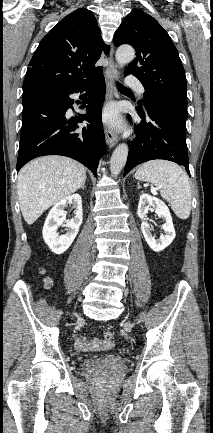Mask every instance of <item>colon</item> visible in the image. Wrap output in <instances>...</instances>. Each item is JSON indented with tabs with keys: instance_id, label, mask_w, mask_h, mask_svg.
<instances>
[{
	"instance_id": "colon-1",
	"label": "colon",
	"mask_w": 213,
	"mask_h": 433,
	"mask_svg": "<svg viewBox=\"0 0 213 433\" xmlns=\"http://www.w3.org/2000/svg\"><path fill=\"white\" fill-rule=\"evenodd\" d=\"M47 285H50V281L49 280H47ZM113 338H114V335H113V333L111 331L104 332L103 339H104L105 342L112 343Z\"/></svg>"
}]
</instances>
